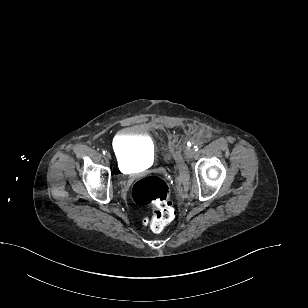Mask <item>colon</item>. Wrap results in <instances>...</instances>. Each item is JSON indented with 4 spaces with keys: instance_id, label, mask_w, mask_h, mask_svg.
<instances>
[{
    "instance_id": "colon-1",
    "label": "colon",
    "mask_w": 308,
    "mask_h": 308,
    "mask_svg": "<svg viewBox=\"0 0 308 308\" xmlns=\"http://www.w3.org/2000/svg\"><path fill=\"white\" fill-rule=\"evenodd\" d=\"M131 194L136 204L153 208V215L146 219L152 231L163 230L174 218L170 187L162 178L146 176L136 180Z\"/></svg>"
}]
</instances>
